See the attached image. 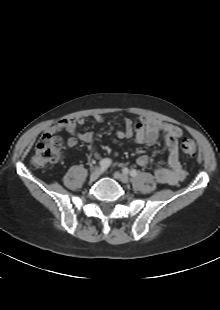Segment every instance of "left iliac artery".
Segmentation results:
<instances>
[{
	"label": "left iliac artery",
	"instance_id": "left-iliac-artery-1",
	"mask_svg": "<svg viewBox=\"0 0 220 310\" xmlns=\"http://www.w3.org/2000/svg\"><path fill=\"white\" fill-rule=\"evenodd\" d=\"M137 174H138V171L135 170V169H132V170L130 171V176H132V177L137 176Z\"/></svg>",
	"mask_w": 220,
	"mask_h": 310
}]
</instances>
